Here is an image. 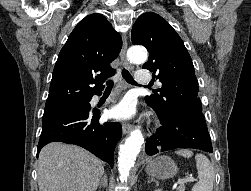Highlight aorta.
Instances as JSON below:
<instances>
[{
	"label": "aorta",
	"mask_w": 251,
	"mask_h": 191,
	"mask_svg": "<svg viewBox=\"0 0 251 191\" xmlns=\"http://www.w3.org/2000/svg\"><path fill=\"white\" fill-rule=\"evenodd\" d=\"M127 58L132 64H144L147 60V52L145 48L132 46V48L127 50ZM142 143H144V137L141 129H134V131H131L129 137L125 139V143L120 145L118 169L122 181H126L130 169L135 163V159L140 151Z\"/></svg>",
	"instance_id": "1"
}]
</instances>
